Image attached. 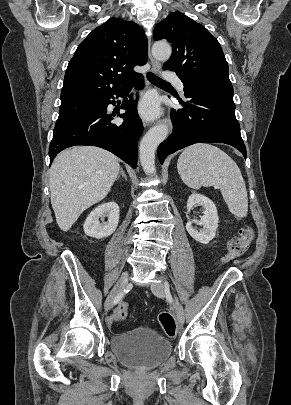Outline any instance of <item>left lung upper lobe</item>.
Wrapping results in <instances>:
<instances>
[{"instance_id":"1","label":"left lung upper lobe","mask_w":291,"mask_h":405,"mask_svg":"<svg viewBox=\"0 0 291 405\" xmlns=\"http://www.w3.org/2000/svg\"><path fill=\"white\" fill-rule=\"evenodd\" d=\"M154 39L168 40L173 48L164 69L175 71L182 82L232 85L228 64L217 39L201 24L180 11L156 25Z\"/></svg>"}]
</instances>
